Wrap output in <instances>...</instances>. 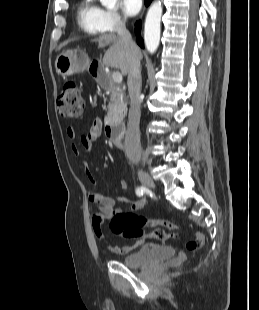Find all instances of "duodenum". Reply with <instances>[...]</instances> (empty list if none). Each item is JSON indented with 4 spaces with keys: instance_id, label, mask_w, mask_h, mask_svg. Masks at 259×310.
<instances>
[{
    "instance_id": "duodenum-1",
    "label": "duodenum",
    "mask_w": 259,
    "mask_h": 310,
    "mask_svg": "<svg viewBox=\"0 0 259 310\" xmlns=\"http://www.w3.org/2000/svg\"><path fill=\"white\" fill-rule=\"evenodd\" d=\"M89 72L100 82L102 87L111 88L113 86L108 75L103 72L101 65L96 61L89 66ZM121 124L108 121L105 125L106 136L116 145H121Z\"/></svg>"
}]
</instances>
